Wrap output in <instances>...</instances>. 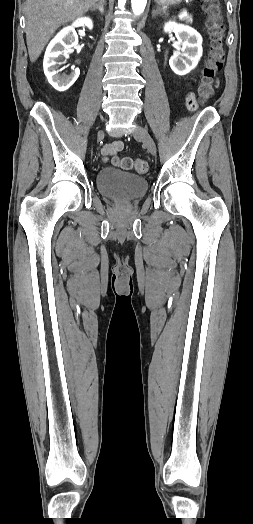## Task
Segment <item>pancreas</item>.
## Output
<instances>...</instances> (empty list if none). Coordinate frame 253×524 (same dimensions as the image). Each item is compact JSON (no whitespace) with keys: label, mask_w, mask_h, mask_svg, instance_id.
<instances>
[{"label":"pancreas","mask_w":253,"mask_h":524,"mask_svg":"<svg viewBox=\"0 0 253 524\" xmlns=\"http://www.w3.org/2000/svg\"><path fill=\"white\" fill-rule=\"evenodd\" d=\"M183 20H185L187 23H190V24H192V22H193L192 16H187V17L183 18Z\"/></svg>","instance_id":"obj_1"}]
</instances>
